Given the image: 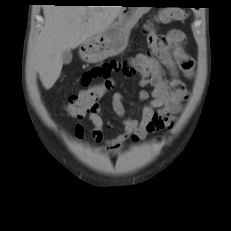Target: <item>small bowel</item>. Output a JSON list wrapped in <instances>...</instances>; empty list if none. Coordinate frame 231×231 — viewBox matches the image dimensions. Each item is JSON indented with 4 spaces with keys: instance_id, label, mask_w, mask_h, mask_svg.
<instances>
[{
    "instance_id": "small-bowel-1",
    "label": "small bowel",
    "mask_w": 231,
    "mask_h": 231,
    "mask_svg": "<svg viewBox=\"0 0 231 231\" xmlns=\"http://www.w3.org/2000/svg\"><path fill=\"white\" fill-rule=\"evenodd\" d=\"M159 37L162 46H151L148 53L138 54L128 60H111L97 65L82 76L81 84L88 88L93 80L110 82L114 73L130 77L135 73L140 75L141 87L150 86L151 90H140L139 100L146 102L141 108V119L126 112V99L121 93L112 95L111 103L116 117L120 120L123 132L115 138L105 139L104 129H113L115 121L104 117L99 109L88 113L93 125L92 137L102 144L110 156L116 155L129 138L139 140L150 134L159 132L173 125L175 115L181 110V105L188 98V92L180 79L183 73L190 77L193 73V59L185 52L183 45L186 37L182 31L174 30L166 36ZM75 136L82 140L85 129L81 122L74 127Z\"/></svg>"
}]
</instances>
